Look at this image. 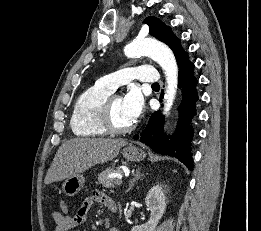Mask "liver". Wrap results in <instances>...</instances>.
Returning a JSON list of instances; mask_svg holds the SVG:
<instances>
[{"instance_id":"6515ba94","label":"liver","mask_w":261,"mask_h":231,"mask_svg":"<svg viewBox=\"0 0 261 231\" xmlns=\"http://www.w3.org/2000/svg\"><path fill=\"white\" fill-rule=\"evenodd\" d=\"M127 141L110 138H74L58 149L44 179L45 184L59 182L92 166L115 158Z\"/></svg>"}]
</instances>
